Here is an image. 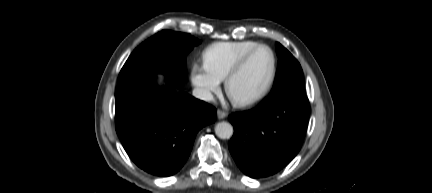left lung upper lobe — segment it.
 I'll return each mask as SVG.
<instances>
[{
	"label": "left lung upper lobe",
	"mask_w": 432,
	"mask_h": 193,
	"mask_svg": "<svg viewBox=\"0 0 432 193\" xmlns=\"http://www.w3.org/2000/svg\"><path fill=\"white\" fill-rule=\"evenodd\" d=\"M276 49L279 62L276 81L271 96H306L303 72L299 62L281 44L276 43Z\"/></svg>",
	"instance_id": "5c2ea615"
}]
</instances>
